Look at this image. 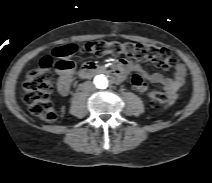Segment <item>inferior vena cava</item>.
Wrapping results in <instances>:
<instances>
[{"instance_id": "obj_1", "label": "inferior vena cava", "mask_w": 212, "mask_h": 183, "mask_svg": "<svg viewBox=\"0 0 212 183\" xmlns=\"http://www.w3.org/2000/svg\"><path fill=\"white\" fill-rule=\"evenodd\" d=\"M84 89L87 92H93L95 90V87H94V85L91 82H85L84 83Z\"/></svg>"}]
</instances>
